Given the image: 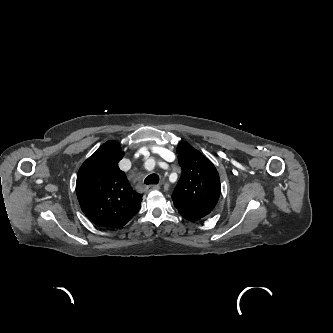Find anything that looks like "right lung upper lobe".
<instances>
[{
  "label": "right lung upper lobe",
  "instance_id": "cb5924a9",
  "mask_svg": "<svg viewBox=\"0 0 333 333\" xmlns=\"http://www.w3.org/2000/svg\"><path fill=\"white\" fill-rule=\"evenodd\" d=\"M123 156L120 145L108 141L78 171L76 193L80 207L98 226L120 228L140 210L142 195L130 187L118 167Z\"/></svg>",
  "mask_w": 333,
  "mask_h": 333
}]
</instances>
